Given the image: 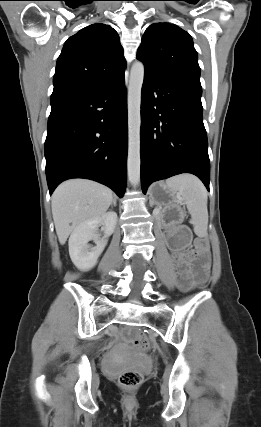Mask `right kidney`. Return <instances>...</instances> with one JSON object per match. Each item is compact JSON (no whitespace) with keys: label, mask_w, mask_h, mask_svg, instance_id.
Returning a JSON list of instances; mask_svg holds the SVG:
<instances>
[{"label":"right kidney","mask_w":261,"mask_h":427,"mask_svg":"<svg viewBox=\"0 0 261 427\" xmlns=\"http://www.w3.org/2000/svg\"><path fill=\"white\" fill-rule=\"evenodd\" d=\"M117 223L116 212H107L100 217L87 220L76 226L69 238V254L74 265L81 270H89L97 263L103 252L107 238L114 232ZM103 225L104 237L98 234V226ZM94 240L96 246L88 245Z\"/></svg>","instance_id":"obj_1"}]
</instances>
